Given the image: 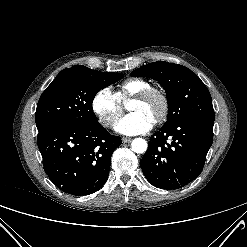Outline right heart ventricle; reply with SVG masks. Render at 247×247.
<instances>
[{"instance_id":"e07e8e85","label":"right heart ventricle","mask_w":247,"mask_h":247,"mask_svg":"<svg viewBox=\"0 0 247 247\" xmlns=\"http://www.w3.org/2000/svg\"><path fill=\"white\" fill-rule=\"evenodd\" d=\"M149 87H151V84L147 80L129 78L118 86L115 95L120 102H124Z\"/></svg>"}]
</instances>
